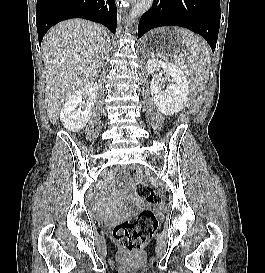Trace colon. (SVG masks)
Returning <instances> with one entry per match:
<instances>
[{"label": "colon", "instance_id": "obj_1", "mask_svg": "<svg viewBox=\"0 0 265 273\" xmlns=\"http://www.w3.org/2000/svg\"><path fill=\"white\" fill-rule=\"evenodd\" d=\"M127 180L142 201L150 204L160 201V195L150 185L140 181L136 168L128 169ZM157 227L155 213L150 209H144L137 215L118 223L113 229V237L124 249L139 250L153 236Z\"/></svg>", "mask_w": 265, "mask_h": 273}]
</instances>
